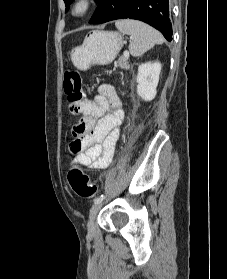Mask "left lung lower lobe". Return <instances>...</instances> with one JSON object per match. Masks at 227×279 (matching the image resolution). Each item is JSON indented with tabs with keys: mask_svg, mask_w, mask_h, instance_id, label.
<instances>
[{
	"mask_svg": "<svg viewBox=\"0 0 227 279\" xmlns=\"http://www.w3.org/2000/svg\"><path fill=\"white\" fill-rule=\"evenodd\" d=\"M90 23L130 18L148 23L172 40V25L169 17V0H99Z\"/></svg>",
	"mask_w": 227,
	"mask_h": 279,
	"instance_id": "obj_1",
	"label": "left lung lower lobe"
}]
</instances>
